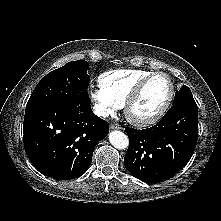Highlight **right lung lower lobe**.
I'll use <instances>...</instances> for the list:
<instances>
[{
    "label": "right lung lower lobe",
    "instance_id": "right-lung-lower-lobe-1",
    "mask_svg": "<svg viewBox=\"0 0 221 221\" xmlns=\"http://www.w3.org/2000/svg\"><path fill=\"white\" fill-rule=\"evenodd\" d=\"M23 131L33 166L52 178L68 180L87 171L95 145L107 135L109 125L92 112L88 99L73 107L26 109Z\"/></svg>",
    "mask_w": 221,
    "mask_h": 221
}]
</instances>
